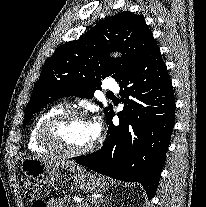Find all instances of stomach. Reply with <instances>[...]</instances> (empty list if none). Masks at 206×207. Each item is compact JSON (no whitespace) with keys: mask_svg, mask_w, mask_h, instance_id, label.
<instances>
[{"mask_svg":"<svg viewBox=\"0 0 206 207\" xmlns=\"http://www.w3.org/2000/svg\"><path fill=\"white\" fill-rule=\"evenodd\" d=\"M61 167L54 162L28 157L22 160L21 172L40 183L53 186L61 176ZM76 188L89 193H101L108 189V183L84 169L70 174Z\"/></svg>","mask_w":206,"mask_h":207,"instance_id":"1","label":"stomach"}]
</instances>
